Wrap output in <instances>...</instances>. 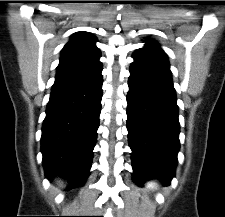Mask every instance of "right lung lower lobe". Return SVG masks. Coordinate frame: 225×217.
<instances>
[{
    "mask_svg": "<svg viewBox=\"0 0 225 217\" xmlns=\"http://www.w3.org/2000/svg\"><path fill=\"white\" fill-rule=\"evenodd\" d=\"M102 76L84 84L52 88L41 136L48 178L63 176L67 190L82 186L91 168L102 99Z\"/></svg>",
    "mask_w": 225,
    "mask_h": 217,
    "instance_id": "98d812e1",
    "label": "right lung lower lobe"
}]
</instances>
